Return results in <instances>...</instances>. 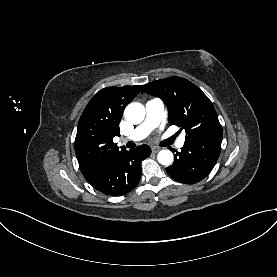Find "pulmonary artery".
<instances>
[{"instance_id":"obj_1","label":"pulmonary artery","mask_w":277,"mask_h":277,"mask_svg":"<svg viewBox=\"0 0 277 277\" xmlns=\"http://www.w3.org/2000/svg\"><path fill=\"white\" fill-rule=\"evenodd\" d=\"M164 104L160 99H151L145 105V120L135 128L127 140L139 141L144 139L154 128H156L163 116ZM185 143V137L181 136L177 140V147L182 148Z\"/></svg>"}]
</instances>
